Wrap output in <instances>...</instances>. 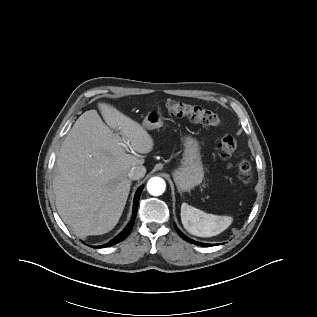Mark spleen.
I'll return each mask as SVG.
<instances>
[{"instance_id":"obj_1","label":"spleen","mask_w":317,"mask_h":317,"mask_svg":"<svg viewBox=\"0 0 317 317\" xmlns=\"http://www.w3.org/2000/svg\"><path fill=\"white\" fill-rule=\"evenodd\" d=\"M181 221L184 228L192 235L212 237L226 230L232 224L233 218L205 213L187 203H183L181 206Z\"/></svg>"}]
</instances>
